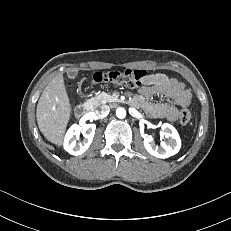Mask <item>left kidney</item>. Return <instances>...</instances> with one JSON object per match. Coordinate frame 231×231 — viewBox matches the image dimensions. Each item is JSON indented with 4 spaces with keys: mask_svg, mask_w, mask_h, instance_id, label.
Listing matches in <instances>:
<instances>
[{
    "mask_svg": "<svg viewBox=\"0 0 231 231\" xmlns=\"http://www.w3.org/2000/svg\"><path fill=\"white\" fill-rule=\"evenodd\" d=\"M161 132L165 138L170 139L169 142H161V147L154 144V140L151 135L145 134L144 147L148 153L157 158H168L175 155L181 148V140L177 130L170 124L164 123L161 127Z\"/></svg>",
    "mask_w": 231,
    "mask_h": 231,
    "instance_id": "left-kidney-1",
    "label": "left kidney"
}]
</instances>
